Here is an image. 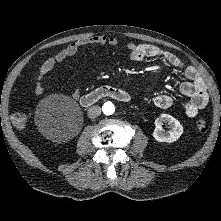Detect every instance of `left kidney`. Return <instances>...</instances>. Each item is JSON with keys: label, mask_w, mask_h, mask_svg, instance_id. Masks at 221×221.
<instances>
[{"label": "left kidney", "mask_w": 221, "mask_h": 221, "mask_svg": "<svg viewBox=\"0 0 221 221\" xmlns=\"http://www.w3.org/2000/svg\"><path fill=\"white\" fill-rule=\"evenodd\" d=\"M163 123H168L171 130L165 132L162 128ZM183 133V126L180 122L169 114H161L155 120V130L153 137L158 142H174L180 138Z\"/></svg>", "instance_id": "1"}]
</instances>
